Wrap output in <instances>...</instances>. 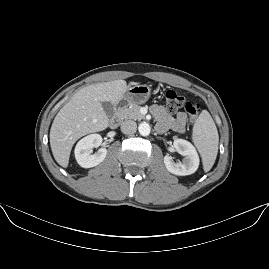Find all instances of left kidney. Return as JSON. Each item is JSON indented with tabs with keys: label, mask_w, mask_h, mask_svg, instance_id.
I'll list each match as a JSON object with an SVG mask.
<instances>
[{
	"label": "left kidney",
	"mask_w": 269,
	"mask_h": 269,
	"mask_svg": "<svg viewBox=\"0 0 269 269\" xmlns=\"http://www.w3.org/2000/svg\"><path fill=\"white\" fill-rule=\"evenodd\" d=\"M175 150L184 156L182 162H174L172 156L164 157V164L167 170L175 175L184 176L193 174L199 166V156L195 147L184 139H176L173 142Z\"/></svg>",
	"instance_id": "5707ae66"
}]
</instances>
